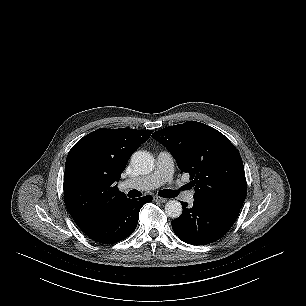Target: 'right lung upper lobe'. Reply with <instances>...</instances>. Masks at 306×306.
Returning <instances> with one entry per match:
<instances>
[{
  "label": "right lung upper lobe",
  "mask_w": 306,
  "mask_h": 306,
  "mask_svg": "<svg viewBox=\"0 0 306 306\" xmlns=\"http://www.w3.org/2000/svg\"><path fill=\"white\" fill-rule=\"evenodd\" d=\"M151 133L101 128L71 148L65 164L64 196L66 208L81 230L102 220L127 199L116 182L132 153Z\"/></svg>",
  "instance_id": "right-lung-upper-lobe-1"
}]
</instances>
